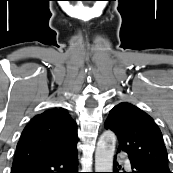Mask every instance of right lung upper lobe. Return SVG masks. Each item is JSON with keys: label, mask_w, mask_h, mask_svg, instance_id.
Segmentation results:
<instances>
[{"label": "right lung upper lobe", "mask_w": 173, "mask_h": 173, "mask_svg": "<svg viewBox=\"0 0 173 173\" xmlns=\"http://www.w3.org/2000/svg\"><path fill=\"white\" fill-rule=\"evenodd\" d=\"M76 123L63 108L34 116L19 139L13 163L60 155L75 149Z\"/></svg>", "instance_id": "right-lung-upper-lobe-1"}]
</instances>
